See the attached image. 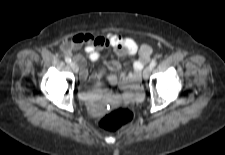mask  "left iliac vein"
Masks as SVG:
<instances>
[{
  "mask_svg": "<svg viewBox=\"0 0 225 155\" xmlns=\"http://www.w3.org/2000/svg\"><path fill=\"white\" fill-rule=\"evenodd\" d=\"M152 72V67L151 66H147L144 71H143V78L146 80L149 78L150 74Z\"/></svg>",
  "mask_w": 225,
  "mask_h": 155,
  "instance_id": "1",
  "label": "left iliac vein"
}]
</instances>
